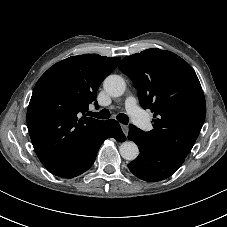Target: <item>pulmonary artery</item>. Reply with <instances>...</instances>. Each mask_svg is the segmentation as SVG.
I'll return each mask as SVG.
<instances>
[{"instance_id":"obj_1","label":"pulmonary artery","mask_w":227,"mask_h":227,"mask_svg":"<svg viewBox=\"0 0 227 227\" xmlns=\"http://www.w3.org/2000/svg\"><path fill=\"white\" fill-rule=\"evenodd\" d=\"M125 107L128 114L134 120L136 124H138L141 128L146 129L148 128L149 124L145 120L138 104L137 99L134 96H128L125 101Z\"/></svg>"}]
</instances>
